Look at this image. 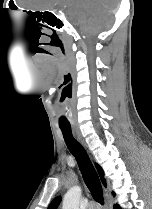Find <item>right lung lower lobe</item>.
Wrapping results in <instances>:
<instances>
[{
    "label": "right lung lower lobe",
    "instance_id": "obj_1",
    "mask_svg": "<svg viewBox=\"0 0 152 209\" xmlns=\"http://www.w3.org/2000/svg\"><path fill=\"white\" fill-rule=\"evenodd\" d=\"M114 195V193H113ZM114 209H121L118 205H114Z\"/></svg>",
    "mask_w": 152,
    "mask_h": 209
}]
</instances>
